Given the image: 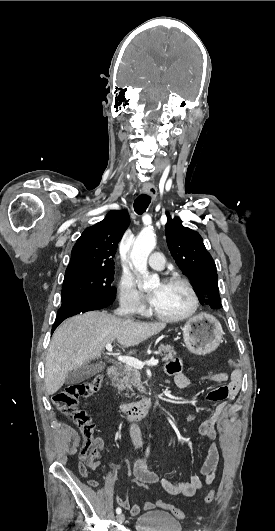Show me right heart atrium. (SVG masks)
<instances>
[{
  "mask_svg": "<svg viewBox=\"0 0 275 531\" xmlns=\"http://www.w3.org/2000/svg\"><path fill=\"white\" fill-rule=\"evenodd\" d=\"M120 302L129 315H143L146 303L143 295L135 288L131 276L123 275L120 280Z\"/></svg>",
  "mask_w": 275,
  "mask_h": 531,
  "instance_id": "right-heart-atrium-1",
  "label": "right heart atrium"
}]
</instances>
